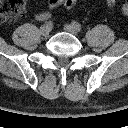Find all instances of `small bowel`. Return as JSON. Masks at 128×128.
<instances>
[{
    "label": "small bowel",
    "mask_w": 128,
    "mask_h": 128,
    "mask_svg": "<svg viewBox=\"0 0 128 128\" xmlns=\"http://www.w3.org/2000/svg\"><path fill=\"white\" fill-rule=\"evenodd\" d=\"M63 3V0H48V8L55 9ZM51 14L49 11H42L36 14L38 21H46L50 18Z\"/></svg>",
    "instance_id": "small-bowel-1"
}]
</instances>
